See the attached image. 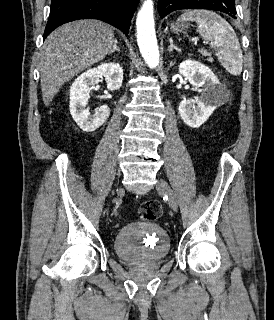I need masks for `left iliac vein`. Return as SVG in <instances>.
Listing matches in <instances>:
<instances>
[{
    "label": "left iliac vein",
    "mask_w": 274,
    "mask_h": 320,
    "mask_svg": "<svg viewBox=\"0 0 274 320\" xmlns=\"http://www.w3.org/2000/svg\"><path fill=\"white\" fill-rule=\"evenodd\" d=\"M156 188L157 190H159L160 192H162L167 196L170 207L174 211H177L178 209L177 200L169 184L166 181L160 179L157 182Z\"/></svg>",
    "instance_id": "1"
}]
</instances>
